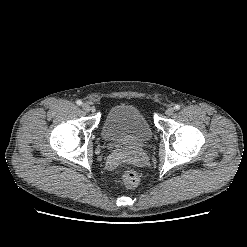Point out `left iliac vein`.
I'll return each mask as SVG.
<instances>
[{
    "label": "left iliac vein",
    "instance_id": "left-iliac-vein-1",
    "mask_svg": "<svg viewBox=\"0 0 247 247\" xmlns=\"http://www.w3.org/2000/svg\"><path fill=\"white\" fill-rule=\"evenodd\" d=\"M174 113V108L170 107L165 111L167 116H171Z\"/></svg>",
    "mask_w": 247,
    "mask_h": 247
}]
</instances>
